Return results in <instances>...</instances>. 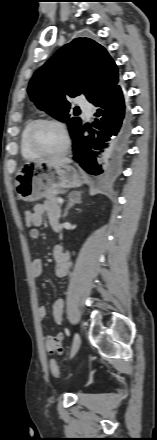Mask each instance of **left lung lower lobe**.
<instances>
[{
    "instance_id": "obj_1",
    "label": "left lung lower lobe",
    "mask_w": 157,
    "mask_h": 440,
    "mask_svg": "<svg viewBox=\"0 0 157 440\" xmlns=\"http://www.w3.org/2000/svg\"><path fill=\"white\" fill-rule=\"evenodd\" d=\"M93 105L97 107L91 125H80L71 135L73 159L89 174L100 175L123 156L130 136V111L118 85ZM109 166V167H108Z\"/></svg>"
}]
</instances>
